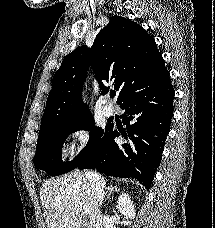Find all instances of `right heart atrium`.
<instances>
[{
  "mask_svg": "<svg viewBox=\"0 0 215 228\" xmlns=\"http://www.w3.org/2000/svg\"><path fill=\"white\" fill-rule=\"evenodd\" d=\"M69 137L70 159H77L91 147L94 141V128L87 121L77 123L70 128Z\"/></svg>",
  "mask_w": 215,
  "mask_h": 228,
  "instance_id": "obj_1",
  "label": "right heart atrium"
}]
</instances>
